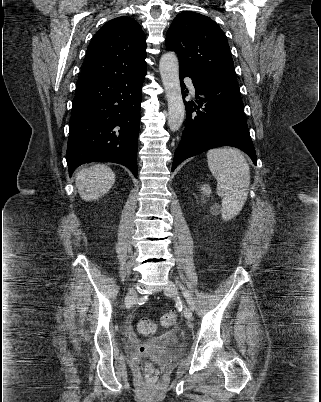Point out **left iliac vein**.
<instances>
[{"instance_id": "1", "label": "left iliac vein", "mask_w": 321, "mask_h": 402, "mask_svg": "<svg viewBox=\"0 0 321 402\" xmlns=\"http://www.w3.org/2000/svg\"><path fill=\"white\" fill-rule=\"evenodd\" d=\"M164 292L166 295L171 297H177L179 294L177 286L172 282L169 281L164 288ZM183 314L187 320H192L193 314L192 309L188 306L184 305Z\"/></svg>"}]
</instances>
